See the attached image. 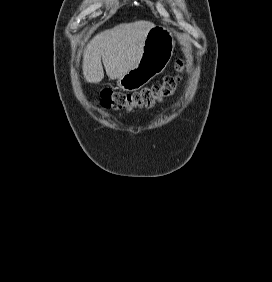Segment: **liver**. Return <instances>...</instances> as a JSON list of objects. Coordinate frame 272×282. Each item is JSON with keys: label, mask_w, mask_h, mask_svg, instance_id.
I'll return each instance as SVG.
<instances>
[{"label": "liver", "mask_w": 272, "mask_h": 282, "mask_svg": "<svg viewBox=\"0 0 272 282\" xmlns=\"http://www.w3.org/2000/svg\"><path fill=\"white\" fill-rule=\"evenodd\" d=\"M154 26L149 21L123 23L98 33L83 53V75L87 82L99 83L107 76L114 80L132 69L140 59L147 33Z\"/></svg>", "instance_id": "obj_1"}]
</instances>
